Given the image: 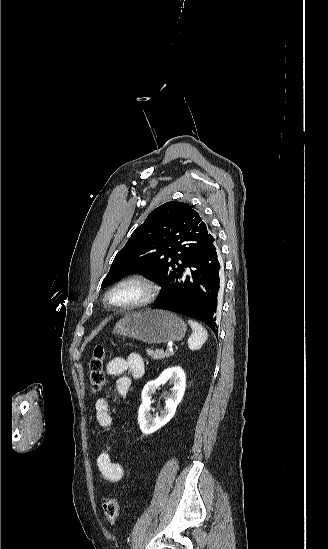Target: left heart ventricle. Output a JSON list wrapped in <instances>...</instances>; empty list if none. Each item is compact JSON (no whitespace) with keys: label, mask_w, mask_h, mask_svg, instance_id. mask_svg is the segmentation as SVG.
<instances>
[{"label":"left heart ventricle","mask_w":328,"mask_h":549,"mask_svg":"<svg viewBox=\"0 0 328 549\" xmlns=\"http://www.w3.org/2000/svg\"><path fill=\"white\" fill-rule=\"evenodd\" d=\"M140 294V288L136 284H130L122 288L115 296L118 301L129 300Z\"/></svg>","instance_id":"1"}]
</instances>
